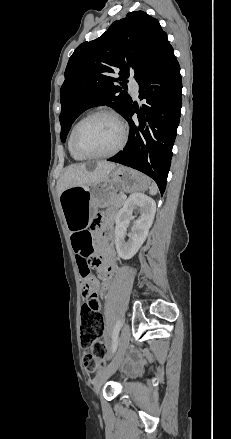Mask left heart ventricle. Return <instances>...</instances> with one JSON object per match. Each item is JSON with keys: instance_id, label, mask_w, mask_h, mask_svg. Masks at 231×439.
Listing matches in <instances>:
<instances>
[{"instance_id": "1", "label": "left heart ventricle", "mask_w": 231, "mask_h": 439, "mask_svg": "<svg viewBox=\"0 0 231 439\" xmlns=\"http://www.w3.org/2000/svg\"><path fill=\"white\" fill-rule=\"evenodd\" d=\"M121 130L109 117L99 116L85 122L78 130V147L90 154H101L112 150L120 141Z\"/></svg>"}]
</instances>
